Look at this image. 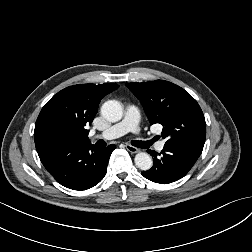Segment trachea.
I'll use <instances>...</instances> for the list:
<instances>
[{"instance_id": "obj_1", "label": "trachea", "mask_w": 252, "mask_h": 252, "mask_svg": "<svg viewBox=\"0 0 252 252\" xmlns=\"http://www.w3.org/2000/svg\"><path fill=\"white\" fill-rule=\"evenodd\" d=\"M153 141L154 140H151V141H136V140H134V141L131 142V144L133 146H136V147H139V148L147 149L152 145Z\"/></svg>"}]
</instances>
